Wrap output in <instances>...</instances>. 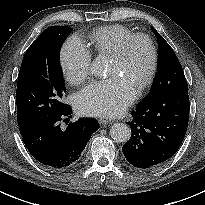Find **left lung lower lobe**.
Returning a JSON list of instances; mask_svg holds the SVG:
<instances>
[{
  "instance_id": "left-lung-lower-lobe-1",
  "label": "left lung lower lobe",
  "mask_w": 205,
  "mask_h": 205,
  "mask_svg": "<svg viewBox=\"0 0 205 205\" xmlns=\"http://www.w3.org/2000/svg\"><path fill=\"white\" fill-rule=\"evenodd\" d=\"M187 83L167 95L142 102L131 112V137L122 147L127 161L137 168L155 167L171 158L186 134L189 119Z\"/></svg>"
}]
</instances>
